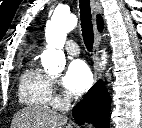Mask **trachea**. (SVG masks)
Listing matches in <instances>:
<instances>
[{
  "instance_id": "trachea-1",
  "label": "trachea",
  "mask_w": 142,
  "mask_h": 128,
  "mask_svg": "<svg viewBox=\"0 0 142 128\" xmlns=\"http://www.w3.org/2000/svg\"><path fill=\"white\" fill-rule=\"evenodd\" d=\"M81 28L84 44L88 51L93 48L94 34L91 20L90 0H79Z\"/></svg>"
}]
</instances>
